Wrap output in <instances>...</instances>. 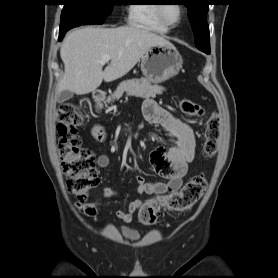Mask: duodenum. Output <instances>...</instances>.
<instances>
[{"instance_id": "410a0bca", "label": "duodenum", "mask_w": 278, "mask_h": 278, "mask_svg": "<svg viewBox=\"0 0 278 278\" xmlns=\"http://www.w3.org/2000/svg\"><path fill=\"white\" fill-rule=\"evenodd\" d=\"M105 97V93L101 90H96L93 92L92 98H93V102L98 104L101 103L103 101ZM93 134L94 136L100 138L102 136V131L99 127H95L93 129Z\"/></svg>"}]
</instances>
